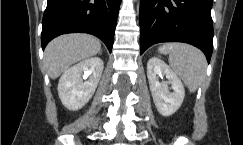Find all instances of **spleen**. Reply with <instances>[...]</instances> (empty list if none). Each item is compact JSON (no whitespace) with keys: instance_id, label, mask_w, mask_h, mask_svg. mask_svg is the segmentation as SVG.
<instances>
[{"instance_id":"3e777b00","label":"spleen","mask_w":243,"mask_h":145,"mask_svg":"<svg viewBox=\"0 0 243 145\" xmlns=\"http://www.w3.org/2000/svg\"><path fill=\"white\" fill-rule=\"evenodd\" d=\"M169 64L191 92L198 89L206 76V58L192 45L184 43L171 45Z\"/></svg>"}]
</instances>
